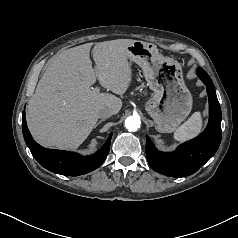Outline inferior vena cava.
I'll return each instance as SVG.
<instances>
[{"instance_id":"inferior-vena-cava-1","label":"inferior vena cava","mask_w":238,"mask_h":238,"mask_svg":"<svg viewBox=\"0 0 238 238\" xmlns=\"http://www.w3.org/2000/svg\"><path fill=\"white\" fill-rule=\"evenodd\" d=\"M114 114V111L110 107H101L98 110V117L99 118H109Z\"/></svg>"}]
</instances>
